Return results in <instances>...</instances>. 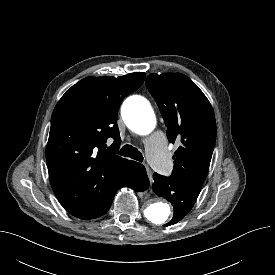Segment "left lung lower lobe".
<instances>
[{
	"instance_id": "0a47b994",
	"label": "left lung lower lobe",
	"mask_w": 275,
	"mask_h": 275,
	"mask_svg": "<svg viewBox=\"0 0 275 275\" xmlns=\"http://www.w3.org/2000/svg\"><path fill=\"white\" fill-rule=\"evenodd\" d=\"M153 179L154 192L170 201L174 206L173 218L165 226L173 225L189 213L200 193L201 186L157 173L153 174Z\"/></svg>"
}]
</instances>
